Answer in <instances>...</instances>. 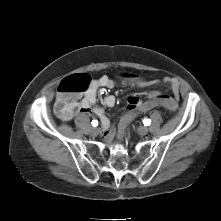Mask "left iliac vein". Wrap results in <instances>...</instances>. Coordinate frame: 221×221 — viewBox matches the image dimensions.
<instances>
[{
  "instance_id": "4c4485c4",
  "label": "left iliac vein",
  "mask_w": 221,
  "mask_h": 221,
  "mask_svg": "<svg viewBox=\"0 0 221 221\" xmlns=\"http://www.w3.org/2000/svg\"><path fill=\"white\" fill-rule=\"evenodd\" d=\"M148 131H149V128L146 126H142L137 129V132L140 135H146L148 133Z\"/></svg>"
}]
</instances>
